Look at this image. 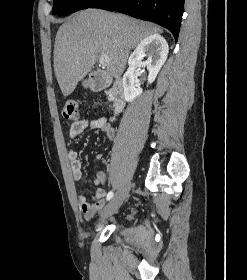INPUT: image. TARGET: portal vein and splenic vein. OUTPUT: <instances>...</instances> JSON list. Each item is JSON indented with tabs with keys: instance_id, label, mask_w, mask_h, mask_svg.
I'll use <instances>...</instances> for the list:
<instances>
[{
	"instance_id": "1",
	"label": "portal vein and splenic vein",
	"mask_w": 247,
	"mask_h": 280,
	"mask_svg": "<svg viewBox=\"0 0 247 280\" xmlns=\"http://www.w3.org/2000/svg\"><path fill=\"white\" fill-rule=\"evenodd\" d=\"M99 63L103 66H107L109 63V57L105 56V55H100L99 57Z\"/></svg>"
}]
</instances>
